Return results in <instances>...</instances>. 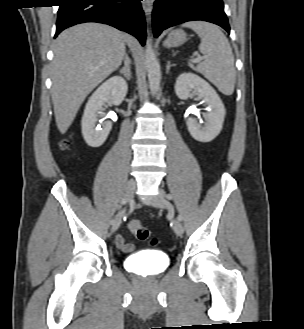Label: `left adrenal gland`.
<instances>
[{"label":"left adrenal gland","mask_w":304,"mask_h":329,"mask_svg":"<svg viewBox=\"0 0 304 329\" xmlns=\"http://www.w3.org/2000/svg\"><path fill=\"white\" fill-rule=\"evenodd\" d=\"M172 66H175V64H171L170 61H167V66H166V73H167V74L169 73L170 68H171Z\"/></svg>","instance_id":"1"}]
</instances>
